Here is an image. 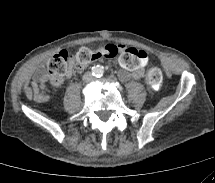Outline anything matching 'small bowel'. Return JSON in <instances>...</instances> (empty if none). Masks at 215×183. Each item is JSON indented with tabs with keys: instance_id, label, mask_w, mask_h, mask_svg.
<instances>
[{
	"instance_id": "small-bowel-1",
	"label": "small bowel",
	"mask_w": 215,
	"mask_h": 183,
	"mask_svg": "<svg viewBox=\"0 0 215 183\" xmlns=\"http://www.w3.org/2000/svg\"><path fill=\"white\" fill-rule=\"evenodd\" d=\"M121 50L117 55V64L121 69L118 77L122 81L129 78L140 79L143 74L147 72L151 66V57L146 49L131 45L125 47L120 45ZM74 67L71 66L67 74L62 78H53L47 72L41 71L31 82V91L33 98L38 103H45L48 101V95L43 93L41 89L50 83L53 86L61 85L65 80L70 79L74 73Z\"/></svg>"
}]
</instances>
